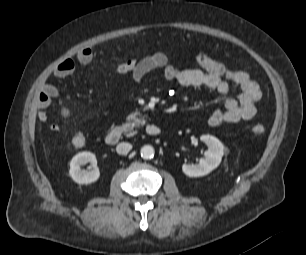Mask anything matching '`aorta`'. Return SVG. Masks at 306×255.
<instances>
[{
	"label": "aorta",
	"instance_id": "aorta-1",
	"mask_svg": "<svg viewBox=\"0 0 306 255\" xmlns=\"http://www.w3.org/2000/svg\"><path fill=\"white\" fill-rule=\"evenodd\" d=\"M140 154L143 159H151L154 157L155 150L151 145H145L141 148Z\"/></svg>",
	"mask_w": 306,
	"mask_h": 255
}]
</instances>
